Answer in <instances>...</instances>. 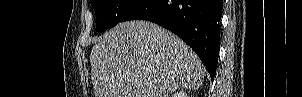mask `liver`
<instances>
[{
  "instance_id": "1",
  "label": "liver",
  "mask_w": 302,
  "mask_h": 97,
  "mask_svg": "<svg viewBox=\"0 0 302 97\" xmlns=\"http://www.w3.org/2000/svg\"><path fill=\"white\" fill-rule=\"evenodd\" d=\"M95 97H168L202 85L204 66L179 37L142 20L119 23L91 54Z\"/></svg>"
}]
</instances>
